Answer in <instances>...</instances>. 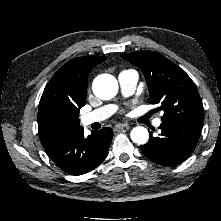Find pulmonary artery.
<instances>
[{"label":"pulmonary artery","instance_id":"pulmonary-artery-1","mask_svg":"<svg viewBox=\"0 0 221 221\" xmlns=\"http://www.w3.org/2000/svg\"><path fill=\"white\" fill-rule=\"evenodd\" d=\"M118 81L121 89V93L124 96H130L136 90L138 82V74L134 70H123L118 75ZM117 109L116 105L109 104L98 109H95L89 113L84 114L81 117L83 125H90L95 122H100L110 117ZM162 121L160 118L155 119L154 126L159 127Z\"/></svg>","mask_w":221,"mask_h":221}]
</instances>
